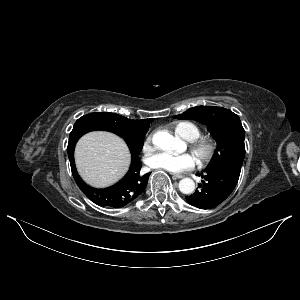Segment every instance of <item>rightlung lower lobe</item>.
Masks as SVG:
<instances>
[{
  "label": "right lung lower lobe",
  "mask_w": 300,
  "mask_h": 300,
  "mask_svg": "<svg viewBox=\"0 0 300 300\" xmlns=\"http://www.w3.org/2000/svg\"><path fill=\"white\" fill-rule=\"evenodd\" d=\"M74 148L68 150L73 177L81 191L99 206L120 208L137 198L145 191L150 173L140 174L141 162L136 154L132 153V162L128 173L115 185L96 189L85 184L77 173L74 163Z\"/></svg>",
  "instance_id": "98d812e1"
}]
</instances>
